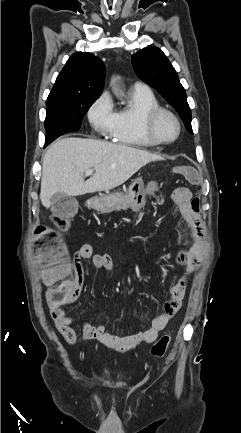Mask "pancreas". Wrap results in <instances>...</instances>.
Instances as JSON below:
<instances>
[{
  "label": "pancreas",
  "instance_id": "1",
  "mask_svg": "<svg viewBox=\"0 0 241 433\" xmlns=\"http://www.w3.org/2000/svg\"><path fill=\"white\" fill-rule=\"evenodd\" d=\"M129 207V205L127 203L121 202L117 205L116 210L120 211V210H127Z\"/></svg>",
  "mask_w": 241,
  "mask_h": 433
}]
</instances>
